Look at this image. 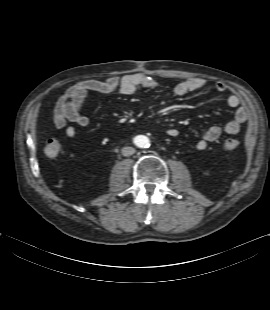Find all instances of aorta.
<instances>
[{
	"label": "aorta",
	"mask_w": 270,
	"mask_h": 310,
	"mask_svg": "<svg viewBox=\"0 0 270 310\" xmlns=\"http://www.w3.org/2000/svg\"><path fill=\"white\" fill-rule=\"evenodd\" d=\"M135 144L140 148L149 146V139L146 136L139 135L135 138Z\"/></svg>",
	"instance_id": "762f6f07"
}]
</instances>
